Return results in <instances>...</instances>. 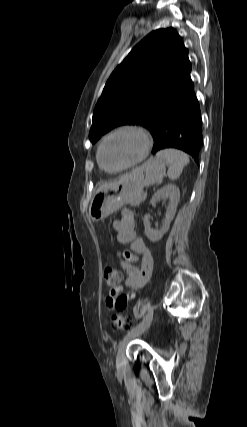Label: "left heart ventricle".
Listing matches in <instances>:
<instances>
[{
    "mask_svg": "<svg viewBox=\"0 0 247 427\" xmlns=\"http://www.w3.org/2000/svg\"><path fill=\"white\" fill-rule=\"evenodd\" d=\"M143 149L141 136L123 131L111 137L103 146L102 162L110 170L121 168L139 157Z\"/></svg>",
    "mask_w": 247,
    "mask_h": 427,
    "instance_id": "b2bd125f",
    "label": "left heart ventricle"
}]
</instances>
